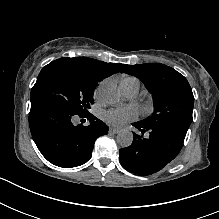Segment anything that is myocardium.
Here are the masks:
<instances>
[{
	"label": "myocardium",
	"instance_id": "f54148a6",
	"mask_svg": "<svg viewBox=\"0 0 219 219\" xmlns=\"http://www.w3.org/2000/svg\"><path fill=\"white\" fill-rule=\"evenodd\" d=\"M144 109L149 112L152 113L155 109L154 104L151 101H146L144 104Z\"/></svg>",
	"mask_w": 219,
	"mask_h": 219
}]
</instances>
